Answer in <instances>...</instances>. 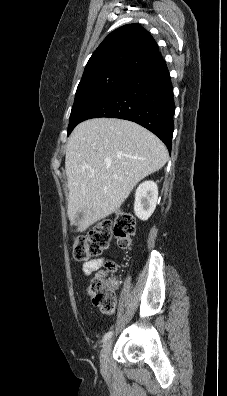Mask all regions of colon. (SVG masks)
Instances as JSON below:
<instances>
[{
  "label": "colon",
  "mask_w": 227,
  "mask_h": 396,
  "mask_svg": "<svg viewBox=\"0 0 227 396\" xmlns=\"http://www.w3.org/2000/svg\"><path fill=\"white\" fill-rule=\"evenodd\" d=\"M134 234L135 221L132 215L118 212L114 222H100L87 236L75 238L73 256L77 261L86 262L106 250L113 237L119 247L125 249L131 245ZM114 270V263H105V270L97 273L88 285L93 304L106 314L113 313L116 308L114 282L108 277V273Z\"/></svg>",
  "instance_id": "1"
}]
</instances>
